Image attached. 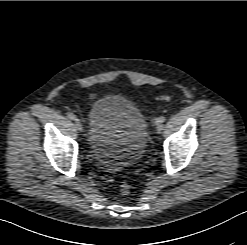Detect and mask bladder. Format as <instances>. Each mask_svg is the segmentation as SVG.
<instances>
[{"mask_svg": "<svg viewBox=\"0 0 247 245\" xmlns=\"http://www.w3.org/2000/svg\"><path fill=\"white\" fill-rule=\"evenodd\" d=\"M147 121L124 96L105 94L89 109V143L97 161L110 170L136 165L147 147Z\"/></svg>", "mask_w": 247, "mask_h": 245, "instance_id": "31cf9c89", "label": "bladder"}]
</instances>
